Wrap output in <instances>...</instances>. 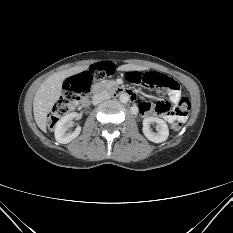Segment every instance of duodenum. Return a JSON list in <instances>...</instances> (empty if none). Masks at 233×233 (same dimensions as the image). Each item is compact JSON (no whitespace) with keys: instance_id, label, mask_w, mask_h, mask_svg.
Segmentation results:
<instances>
[{"instance_id":"duodenum-1","label":"duodenum","mask_w":233,"mask_h":233,"mask_svg":"<svg viewBox=\"0 0 233 233\" xmlns=\"http://www.w3.org/2000/svg\"><path fill=\"white\" fill-rule=\"evenodd\" d=\"M106 89H108L114 95H126L129 97H133V94L131 91H129V90H127L124 87L119 86V85L106 86V85H101V84H93L91 87V92L92 93H100Z\"/></svg>"}]
</instances>
